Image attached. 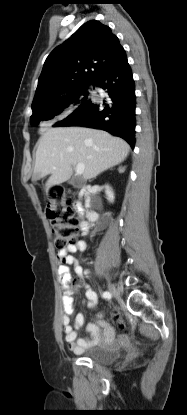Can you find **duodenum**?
Here are the masks:
<instances>
[{"instance_id": "duodenum-1", "label": "duodenum", "mask_w": 187, "mask_h": 415, "mask_svg": "<svg viewBox=\"0 0 187 415\" xmlns=\"http://www.w3.org/2000/svg\"><path fill=\"white\" fill-rule=\"evenodd\" d=\"M81 190H82V191H83V193L85 194V193L87 192V186H83ZM75 208H76V210H77L79 213L84 214V210H83V208H82L81 203H77V204L75 205ZM93 219H94V216H93L92 214H89V216H88V221H84V222L82 223V228H83V230H84V231H87V230L89 229V224H90V221H91V220H93Z\"/></svg>"}]
</instances>
